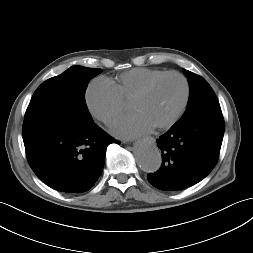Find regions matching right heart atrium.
I'll list each match as a JSON object with an SVG mask.
<instances>
[{"instance_id":"right-heart-atrium-1","label":"right heart atrium","mask_w":253,"mask_h":253,"mask_svg":"<svg viewBox=\"0 0 253 253\" xmlns=\"http://www.w3.org/2000/svg\"><path fill=\"white\" fill-rule=\"evenodd\" d=\"M85 103L90 114L106 125L113 123L125 109V102L115 86L103 77L90 82L85 92Z\"/></svg>"}]
</instances>
